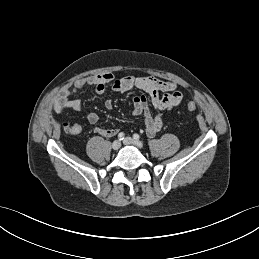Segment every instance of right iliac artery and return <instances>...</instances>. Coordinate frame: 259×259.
<instances>
[{"label": "right iliac artery", "instance_id": "82829eb1", "mask_svg": "<svg viewBox=\"0 0 259 259\" xmlns=\"http://www.w3.org/2000/svg\"><path fill=\"white\" fill-rule=\"evenodd\" d=\"M118 138H119V140H123L124 139V133L123 132L119 133Z\"/></svg>", "mask_w": 259, "mask_h": 259}]
</instances>
